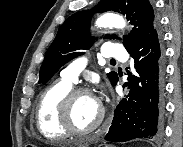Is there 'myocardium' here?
<instances>
[{"label": "myocardium", "mask_w": 183, "mask_h": 147, "mask_svg": "<svg viewBox=\"0 0 183 147\" xmlns=\"http://www.w3.org/2000/svg\"><path fill=\"white\" fill-rule=\"evenodd\" d=\"M80 95H90L93 96L92 93L82 87H74L72 88L60 101L59 107H58V118L60 121L61 126L69 133L74 135H87L92 132H94L103 122L105 117V110L103 105L98 101L99 106V114L96 119V121L87 129H78L74 126L72 115H71V109L72 104L75 98H77Z\"/></svg>", "instance_id": "f54148a6"}]
</instances>
